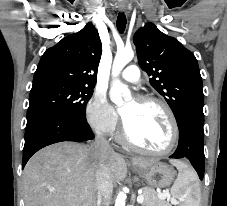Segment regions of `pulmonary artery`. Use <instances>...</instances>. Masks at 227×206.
<instances>
[{
  "label": "pulmonary artery",
  "instance_id": "e3ab8cb5",
  "mask_svg": "<svg viewBox=\"0 0 227 206\" xmlns=\"http://www.w3.org/2000/svg\"><path fill=\"white\" fill-rule=\"evenodd\" d=\"M120 76L129 83L137 84L140 82V70L136 65L126 67Z\"/></svg>",
  "mask_w": 227,
  "mask_h": 206
}]
</instances>
